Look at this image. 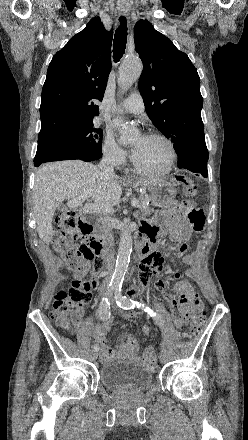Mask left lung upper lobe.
<instances>
[{
    "label": "left lung upper lobe",
    "mask_w": 248,
    "mask_h": 440,
    "mask_svg": "<svg viewBox=\"0 0 248 440\" xmlns=\"http://www.w3.org/2000/svg\"><path fill=\"white\" fill-rule=\"evenodd\" d=\"M143 62L139 90L154 125L174 143L178 165L208 161L201 118L200 78L188 56L147 20L134 28Z\"/></svg>",
    "instance_id": "obj_1"
}]
</instances>
